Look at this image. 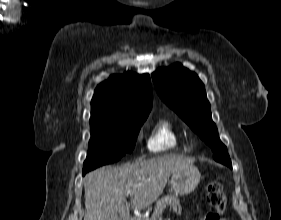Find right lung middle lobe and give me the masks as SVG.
<instances>
[{"label": "right lung middle lobe", "instance_id": "dd1d6c3e", "mask_svg": "<svg viewBox=\"0 0 281 220\" xmlns=\"http://www.w3.org/2000/svg\"><path fill=\"white\" fill-rule=\"evenodd\" d=\"M147 116L108 122L90 121L91 139L83 175L99 166L118 161L125 153H131Z\"/></svg>", "mask_w": 281, "mask_h": 220}]
</instances>
